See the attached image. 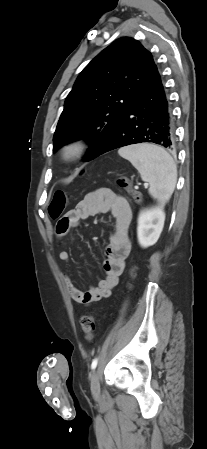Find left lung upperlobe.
Segmentation results:
<instances>
[{"mask_svg":"<svg viewBox=\"0 0 207 449\" xmlns=\"http://www.w3.org/2000/svg\"><path fill=\"white\" fill-rule=\"evenodd\" d=\"M155 62L137 40L117 39L80 73L66 98L53 152L85 138L91 145L86 161L105 146L147 85Z\"/></svg>","mask_w":207,"mask_h":449,"instance_id":"left-lung-upper-lobe-1","label":"left lung upper lobe"}]
</instances>
